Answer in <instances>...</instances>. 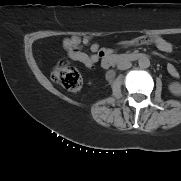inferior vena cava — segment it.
<instances>
[{
  "label": "inferior vena cava",
  "mask_w": 181,
  "mask_h": 181,
  "mask_svg": "<svg viewBox=\"0 0 181 181\" xmlns=\"http://www.w3.org/2000/svg\"><path fill=\"white\" fill-rule=\"evenodd\" d=\"M132 66V63L130 61H124L122 62L121 65L118 66V69L120 70H124V69H128Z\"/></svg>",
  "instance_id": "obj_1"
}]
</instances>
